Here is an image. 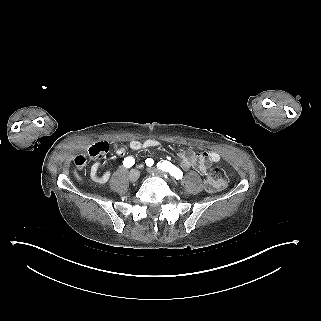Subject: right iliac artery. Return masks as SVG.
<instances>
[{"label":"right iliac artery","instance_id":"obj_1","mask_svg":"<svg viewBox=\"0 0 321 321\" xmlns=\"http://www.w3.org/2000/svg\"><path fill=\"white\" fill-rule=\"evenodd\" d=\"M135 160L133 157H126L123 161V165L127 168H130L134 165Z\"/></svg>","mask_w":321,"mask_h":321}]
</instances>
